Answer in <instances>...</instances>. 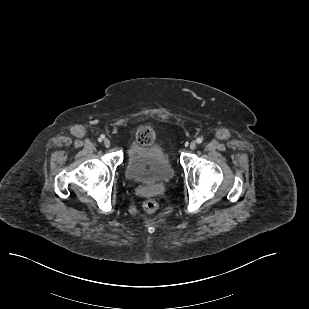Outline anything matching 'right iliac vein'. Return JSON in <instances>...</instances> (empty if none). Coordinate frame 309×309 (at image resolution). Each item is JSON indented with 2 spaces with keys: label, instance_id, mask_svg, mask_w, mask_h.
<instances>
[{
  "label": "right iliac vein",
  "instance_id": "right-iliac-vein-1",
  "mask_svg": "<svg viewBox=\"0 0 309 309\" xmlns=\"http://www.w3.org/2000/svg\"><path fill=\"white\" fill-rule=\"evenodd\" d=\"M104 145H105V147H109L110 146V140L105 138L104 139Z\"/></svg>",
  "mask_w": 309,
  "mask_h": 309
}]
</instances>
